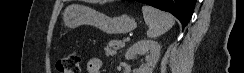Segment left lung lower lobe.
<instances>
[{
    "instance_id": "0a47b994",
    "label": "left lung lower lobe",
    "mask_w": 244,
    "mask_h": 73,
    "mask_svg": "<svg viewBox=\"0 0 244 73\" xmlns=\"http://www.w3.org/2000/svg\"><path fill=\"white\" fill-rule=\"evenodd\" d=\"M172 13L184 28L190 21L196 0H136Z\"/></svg>"
}]
</instances>
